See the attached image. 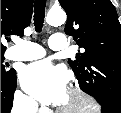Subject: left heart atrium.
I'll list each match as a JSON object with an SVG mask.
<instances>
[{"mask_svg": "<svg viewBox=\"0 0 121 113\" xmlns=\"http://www.w3.org/2000/svg\"><path fill=\"white\" fill-rule=\"evenodd\" d=\"M20 80L25 91L44 104H60L67 92L64 71L46 61L27 66Z\"/></svg>", "mask_w": 121, "mask_h": 113, "instance_id": "39dd6f15", "label": "left heart atrium"}]
</instances>
